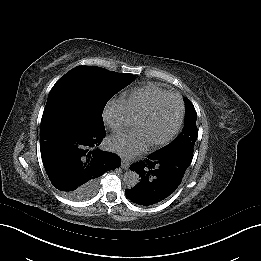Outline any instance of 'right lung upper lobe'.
<instances>
[{
  "mask_svg": "<svg viewBox=\"0 0 261 261\" xmlns=\"http://www.w3.org/2000/svg\"><path fill=\"white\" fill-rule=\"evenodd\" d=\"M122 74H125V75H127L129 77L135 78V76L133 74H129V73H122Z\"/></svg>",
  "mask_w": 261,
  "mask_h": 261,
  "instance_id": "obj_1",
  "label": "right lung upper lobe"
}]
</instances>
